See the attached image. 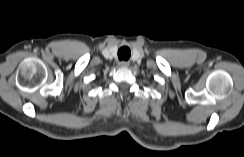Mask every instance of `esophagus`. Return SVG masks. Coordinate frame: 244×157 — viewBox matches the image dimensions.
<instances>
[{
    "label": "esophagus",
    "instance_id": "1",
    "mask_svg": "<svg viewBox=\"0 0 244 157\" xmlns=\"http://www.w3.org/2000/svg\"><path fill=\"white\" fill-rule=\"evenodd\" d=\"M119 66L128 67L129 66V62L122 61V62L119 63Z\"/></svg>",
    "mask_w": 244,
    "mask_h": 157
}]
</instances>
